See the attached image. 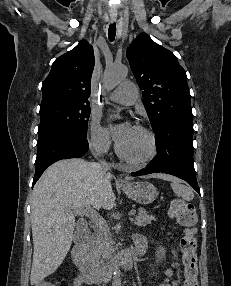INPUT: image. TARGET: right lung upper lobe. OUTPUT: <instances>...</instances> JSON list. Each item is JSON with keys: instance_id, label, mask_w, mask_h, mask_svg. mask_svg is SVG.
Here are the masks:
<instances>
[{"instance_id": "right-lung-upper-lobe-1", "label": "right lung upper lobe", "mask_w": 231, "mask_h": 286, "mask_svg": "<svg viewBox=\"0 0 231 286\" xmlns=\"http://www.w3.org/2000/svg\"><path fill=\"white\" fill-rule=\"evenodd\" d=\"M94 62L93 48L86 40L57 58L42 85L41 106L63 101L89 103Z\"/></svg>"}]
</instances>
